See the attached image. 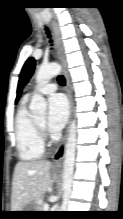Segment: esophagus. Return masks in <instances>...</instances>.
<instances>
[{
  "label": "esophagus",
  "mask_w": 123,
  "mask_h": 219,
  "mask_svg": "<svg viewBox=\"0 0 123 219\" xmlns=\"http://www.w3.org/2000/svg\"><path fill=\"white\" fill-rule=\"evenodd\" d=\"M52 29H53V33H54V37H55L58 58H59L61 65L63 67V73H64V76L66 79V93H67V97H68V101H69L68 126H67V129H66V132H65V135H64L62 141L60 142V144L58 145V147L56 148V150L53 154L54 166L60 167L62 164L64 154H65L66 140H67L69 125H70V120H71V107H72V105H71L70 82H69L68 72H67V60H66V55H65V50H64V44H63L60 28H59L58 24L56 23V21H54V20L52 21Z\"/></svg>",
  "instance_id": "1"
}]
</instances>
